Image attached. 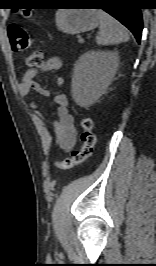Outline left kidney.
Masks as SVG:
<instances>
[{
  "mask_svg": "<svg viewBox=\"0 0 156 266\" xmlns=\"http://www.w3.org/2000/svg\"><path fill=\"white\" fill-rule=\"evenodd\" d=\"M119 65V53L88 51L76 62L71 82L74 101L89 107L105 93Z\"/></svg>",
  "mask_w": 156,
  "mask_h": 266,
  "instance_id": "5707ae66",
  "label": "left kidney"
}]
</instances>
